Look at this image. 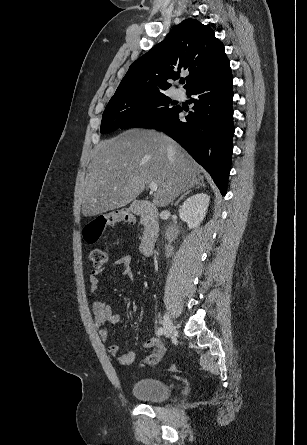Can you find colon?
Segmentation results:
<instances>
[{"instance_id": "colon-1", "label": "colon", "mask_w": 307, "mask_h": 445, "mask_svg": "<svg viewBox=\"0 0 307 445\" xmlns=\"http://www.w3.org/2000/svg\"><path fill=\"white\" fill-rule=\"evenodd\" d=\"M119 221L133 223L135 217L127 212L117 211L108 215L99 216L89 222L84 230L83 235L87 243L92 244L100 239L105 229ZM90 260L96 269L104 267L108 261L107 253L100 248H94L90 252ZM171 372H180L181 368L177 365L168 367Z\"/></svg>"}]
</instances>
